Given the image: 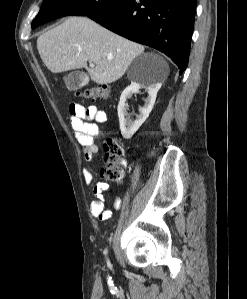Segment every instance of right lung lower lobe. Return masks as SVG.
Returning a JSON list of instances; mask_svg holds the SVG:
<instances>
[{
	"mask_svg": "<svg viewBox=\"0 0 247 299\" xmlns=\"http://www.w3.org/2000/svg\"><path fill=\"white\" fill-rule=\"evenodd\" d=\"M196 1L124 0L88 17L129 40L163 52L182 74L189 60Z\"/></svg>",
	"mask_w": 247,
	"mask_h": 299,
	"instance_id": "1",
	"label": "right lung lower lobe"
}]
</instances>
